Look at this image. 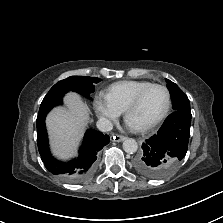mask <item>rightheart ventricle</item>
Instances as JSON below:
<instances>
[{"label": "right heart ventricle", "instance_id": "obj_1", "mask_svg": "<svg viewBox=\"0 0 223 223\" xmlns=\"http://www.w3.org/2000/svg\"><path fill=\"white\" fill-rule=\"evenodd\" d=\"M152 83L144 80H124L110 85L106 90L107 98L123 112L133 98Z\"/></svg>", "mask_w": 223, "mask_h": 223}]
</instances>
